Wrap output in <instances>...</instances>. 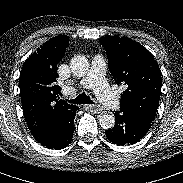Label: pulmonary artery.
<instances>
[{"mask_svg":"<svg viewBox=\"0 0 183 183\" xmlns=\"http://www.w3.org/2000/svg\"><path fill=\"white\" fill-rule=\"evenodd\" d=\"M105 70V59L100 55H96L92 60L88 74L80 80L79 88L93 89L104 105L111 109H117L119 100L106 83ZM74 90L75 88H71V91Z\"/></svg>","mask_w":183,"mask_h":183,"instance_id":"e3ab8cb5","label":"pulmonary artery"}]
</instances>
